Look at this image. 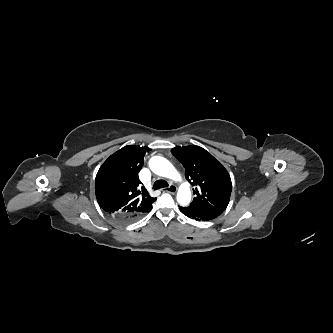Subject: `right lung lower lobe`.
Instances as JSON below:
<instances>
[{"mask_svg": "<svg viewBox=\"0 0 333 333\" xmlns=\"http://www.w3.org/2000/svg\"><path fill=\"white\" fill-rule=\"evenodd\" d=\"M152 209V208H151ZM150 209V210H151ZM149 210V211H150ZM149 211H147V212H149ZM146 213V212H145ZM138 215H126V216H123V217H116V218H118V219H120V220H127L128 218H130V219H134V218H136Z\"/></svg>", "mask_w": 333, "mask_h": 333, "instance_id": "1", "label": "right lung lower lobe"}]
</instances>
